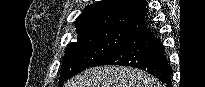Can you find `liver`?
Returning a JSON list of instances; mask_svg holds the SVG:
<instances>
[{"mask_svg":"<svg viewBox=\"0 0 205 87\" xmlns=\"http://www.w3.org/2000/svg\"><path fill=\"white\" fill-rule=\"evenodd\" d=\"M65 87H162L153 76L124 66H101L85 70Z\"/></svg>","mask_w":205,"mask_h":87,"instance_id":"6515ba94","label":"liver"}]
</instances>
